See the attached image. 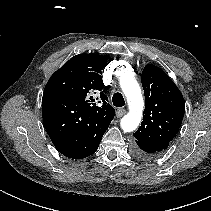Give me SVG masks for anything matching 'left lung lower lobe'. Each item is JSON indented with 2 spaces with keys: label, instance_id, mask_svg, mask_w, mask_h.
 <instances>
[{
  "label": "left lung lower lobe",
  "instance_id": "left-lung-lower-lobe-1",
  "mask_svg": "<svg viewBox=\"0 0 211 211\" xmlns=\"http://www.w3.org/2000/svg\"><path fill=\"white\" fill-rule=\"evenodd\" d=\"M132 154L139 160H150L158 153L144 145H135L132 149Z\"/></svg>",
  "mask_w": 211,
  "mask_h": 211
}]
</instances>
